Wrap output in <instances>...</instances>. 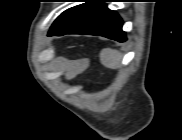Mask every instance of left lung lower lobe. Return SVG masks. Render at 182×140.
Returning <instances> with one entry per match:
<instances>
[{"label": "left lung lower lobe", "instance_id": "0a47b994", "mask_svg": "<svg viewBox=\"0 0 182 140\" xmlns=\"http://www.w3.org/2000/svg\"><path fill=\"white\" fill-rule=\"evenodd\" d=\"M122 19L105 4L69 29L65 34H87L104 36L119 42L126 41L122 31Z\"/></svg>", "mask_w": 182, "mask_h": 140}]
</instances>
